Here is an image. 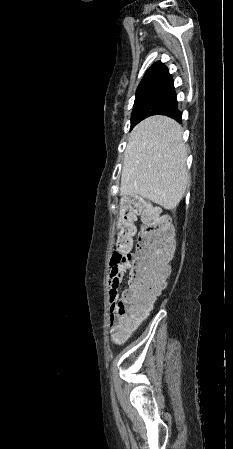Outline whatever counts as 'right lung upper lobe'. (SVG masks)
<instances>
[{
  "label": "right lung upper lobe",
  "instance_id": "obj_1",
  "mask_svg": "<svg viewBox=\"0 0 233 449\" xmlns=\"http://www.w3.org/2000/svg\"><path fill=\"white\" fill-rule=\"evenodd\" d=\"M153 90H174L173 79L167 67L159 61L147 70L137 88L136 94Z\"/></svg>",
  "mask_w": 233,
  "mask_h": 449
}]
</instances>
